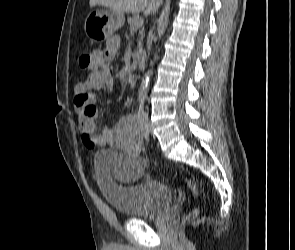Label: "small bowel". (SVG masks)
<instances>
[{
	"instance_id": "small-bowel-1",
	"label": "small bowel",
	"mask_w": 295,
	"mask_h": 250,
	"mask_svg": "<svg viewBox=\"0 0 295 250\" xmlns=\"http://www.w3.org/2000/svg\"><path fill=\"white\" fill-rule=\"evenodd\" d=\"M118 48L119 39L111 37L105 49L90 53L91 73L76 85L74 104L84 146L89 149L112 146L122 151L124 155L118 160L114 176L120 182H129L139 177L146 167V160L140 156L141 135L135 117L126 115L114 128L103 126L99 131L96 124V102L112 85L110 63L117 56Z\"/></svg>"
}]
</instances>
